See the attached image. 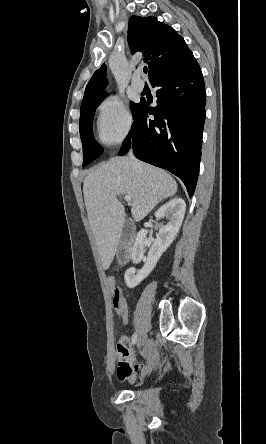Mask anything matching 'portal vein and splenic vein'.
<instances>
[{"mask_svg": "<svg viewBox=\"0 0 266 444\" xmlns=\"http://www.w3.org/2000/svg\"><path fill=\"white\" fill-rule=\"evenodd\" d=\"M125 201H127L128 203H130L132 201L131 197L129 195H125L124 196Z\"/></svg>", "mask_w": 266, "mask_h": 444, "instance_id": "obj_1", "label": "portal vein and splenic vein"}]
</instances>
